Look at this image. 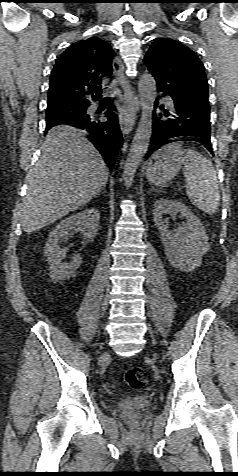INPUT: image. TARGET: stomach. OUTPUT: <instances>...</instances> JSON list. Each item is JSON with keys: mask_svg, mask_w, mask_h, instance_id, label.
Segmentation results:
<instances>
[{"mask_svg": "<svg viewBox=\"0 0 238 476\" xmlns=\"http://www.w3.org/2000/svg\"><path fill=\"white\" fill-rule=\"evenodd\" d=\"M185 164L183 149L178 143H171L151 156L146 165V177L155 186H165Z\"/></svg>", "mask_w": 238, "mask_h": 476, "instance_id": "stomach-1", "label": "stomach"}]
</instances>
